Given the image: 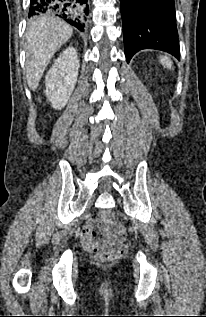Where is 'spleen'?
I'll use <instances>...</instances> for the list:
<instances>
[{"instance_id":"3e777b00","label":"spleen","mask_w":206,"mask_h":317,"mask_svg":"<svg viewBox=\"0 0 206 317\" xmlns=\"http://www.w3.org/2000/svg\"><path fill=\"white\" fill-rule=\"evenodd\" d=\"M159 61L165 68L171 69L172 61L167 56L160 57Z\"/></svg>"}]
</instances>
